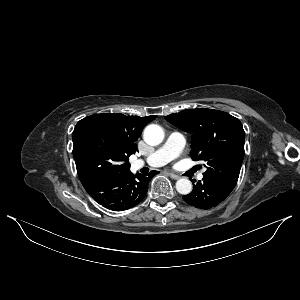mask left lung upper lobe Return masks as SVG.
<instances>
[{
  "label": "left lung upper lobe",
  "mask_w": 300,
  "mask_h": 300,
  "mask_svg": "<svg viewBox=\"0 0 300 300\" xmlns=\"http://www.w3.org/2000/svg\"><path fill=\"white\" fill-rule=\"evenodd\" d=\"M165 119L192 134L191 158L203 160L205 177L236 185L244 158L245 132L241 122L229 113L206 109H188Z\"/></svg>",
  "instance_id": "5c2ea615"
}]
</instances>
